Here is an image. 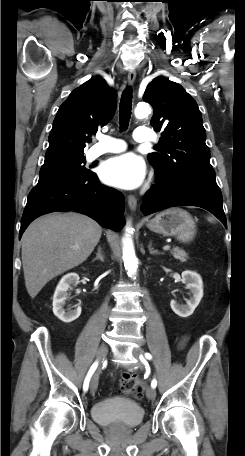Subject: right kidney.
I'll return each mask as SVG.
<instances>
[{"label": "right kidney", "instance_id": "right-kidney-1", "mask_svg": "<svg viewBox=\"0 0 245 456\" xmlns=\"http://www.w3.org/2000/svg\"><path fill=\"white\" fill-rule=\"evenodd\" d=\"M79 276L76 273H68L62 277L58 283L53 296V313L61 321L70 323L76 320L81 314V307L78 306L75 310H65L63 306L68 296V289L71 284H77Z\"/></svg>", "mask_w": 245, "mask_h": 456}]
</instances>
